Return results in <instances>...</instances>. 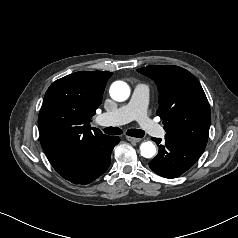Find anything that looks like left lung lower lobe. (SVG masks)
<instances>
[{"label":"left lung lower lobe","instance_id":"obj_1","mask_svg":"<svg viewBox=\"0 0 238 238\" xmlns=\"http://www.w3.org/2000/svg\"><path fill=\"white\" fill-rule=\"evenodd\" d=\"M159 147L158 155L149 163L150 169L165 178H176L190 169L199 159L204 146L165 136V141L152 138Z\"/></svg>","mask_w":238,"mask_h":238}]
</instances>
